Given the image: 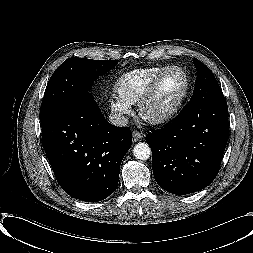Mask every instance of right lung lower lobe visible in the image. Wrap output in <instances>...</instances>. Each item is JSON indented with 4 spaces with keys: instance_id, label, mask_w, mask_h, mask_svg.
<instances>
[{
    "instance_id": "1",
    "label": "right lung lower lobe",
    "mask_w": 253,
    "mask_h": 253,
    "mask_svg": "<svg viewBox=\"0 0 253 253\" xmlns=\"http://www.w3.org/2000/svg\"><path fill=\"white\" fill-rule=\"evenodd\" d=\"M41 127L46 155L68 195L97 202L115 191L131 131L107 122L88 92L69 99Z\"/></svg>"
}]
</instances>
